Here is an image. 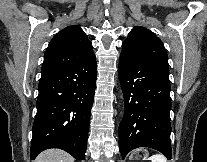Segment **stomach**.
Masks as SVG:
<instances>
[{"label": "stomach", "instance_id": "obj_1", "mask_svg": "<svg viewBox=\"0 0 207 162\" xmlns=\"http://www.w3.org/2000/svg\"><path fill=\"white\" fill-rule=\"evenodd\" d=\"M135 156H136V158H138L139 157V153H135Z\"/></svg>", "mask_w": 207, "mask_h": 162}]
</instances>
